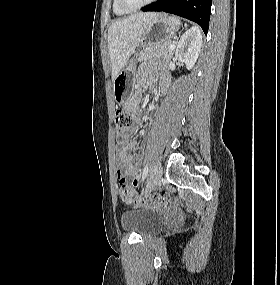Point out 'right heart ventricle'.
<instances>
[{"mask_svg":"<svg viewBox=\"0 0 280 285\" xmlns=\"http://www.w3.org/2000/svg\"><path fill=\"white\" fill-rule=\"evenodd\" d=\"M112 8H113V12L116 14V15H126L128 13H130L129 11H125L123 10L118 1L117 0H113V4H112Z\"/></svg>","mask_w":280,"mask_h":285,"instance_id":"e07e8e85","label":"right heart ventricle"}]
</instances>
